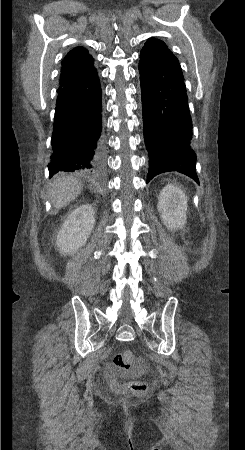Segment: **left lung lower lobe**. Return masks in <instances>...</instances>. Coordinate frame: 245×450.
I'll return each mask as SVG.
<instances>
[{
	"label": "left lung lower lobe",
	"instance_id": "left-lung-lower-lobe-1",
	"mask_svg": "<svg viewBox=\"0 0 245 450\" xmlns=\"http://www.w3.org/2000/svg\"><path fill=\"white\" fill-rule=\"evenodd\" d=\"M139 71L144 139L149 154L147 183L160 173L177 171L199 184L184 77L164 62L140 61Z\"/></svg>",
	"mask_w": 245,
	"mask_h": 450
}]
</instances>
